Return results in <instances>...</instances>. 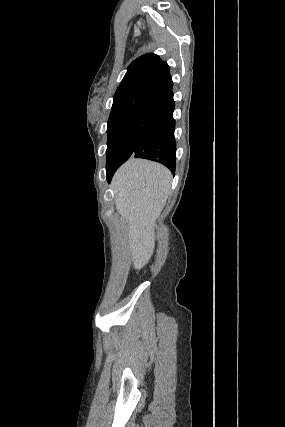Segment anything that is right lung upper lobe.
I'll return each instance as SVG.
<instances>
[{
    "label": "right lung upper lobe",
    "mask_w": 285,
    "mask_h": 427,
    "mask_svg": "<svg viewBox=\"0 0 285 427\" xmlns=\"http://www.w3.org/2000/svg\"><path fill=\"white\" fill-rule=\"evenodd\" d=\"M172 87L167 63L152 53L142 55L131 63L117 88L108 122L147 112L172 96Z\"/></svg>",
    "instance_id": "right-lung-upper-lobe-1"
}]
</instances>
